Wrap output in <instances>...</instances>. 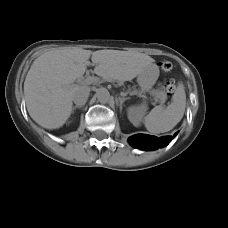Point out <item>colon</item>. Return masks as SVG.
Returning a JSON list of instances; mask_svg holds the SVG:
<instances>
[{
  "label": "colon",
  "mask_w": 228,
  "mask_h": 228,
  "mask_svg": "<svg viewBox=\"0 0 228 228\" xmlns=\"http://www.w3.org/2000/svg\"><path fill=\"white\" fill-rule=\"evenodd\" d=\"M160 67L161 69L164 71V72H170L173 68L172 64L168 61H164L160 64ZM176 88V85H175V82L174 81H170L167 86H166V89H167V92L168 93H173L174 90Z\"/></svg>",
  "instance_id": "5ec220e1"
}]
</instances>
